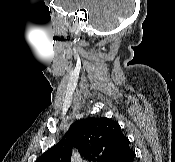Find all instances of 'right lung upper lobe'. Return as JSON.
<instances>
[{"instance_id": "1", "label": "right lung upper lobe", "mask_w": 175, "mask_h": 162, "mask_svg": "<svg viewBox=\"0 0 175 162\" xmlns=\"http://www.w3.org/2000/svg\"><path fill=\"white\" fill-rule=\"evenodd\" d=\"M76 147L89 162H112L129 148V140L111 119L86 118L73 123L61 141L36 162H71Z\"/></svg>"}]
</instances>
